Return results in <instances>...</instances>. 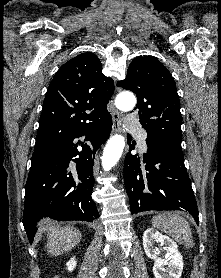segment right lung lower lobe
I'll use <instances>...</instances> for the list:
<instances>
[{
	"mask_svg": "<svg viewBox=\"0 0 221 278\" xmlns=\"http://www.w3.org/2000/svg\"><path fill=\"white\" fill-rule=\"evenodd\" d=\"M111 129L112 117L109 115L34 149L25 186L23 216L30 243L42 217L88 222L99 218L91 197L94 156L108 139ZM78 137H85L86 142H76ZM78 146L82 147L81 151Z\"/></svg>",
	"mask_w": 221,
	"mask_h": 278,
	"instance_id": "1",
	"label": "right lung lower lobe"
}]
</instances>
